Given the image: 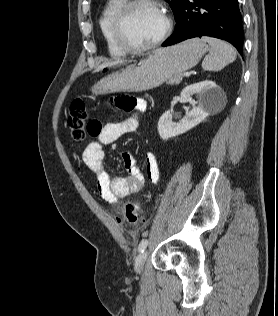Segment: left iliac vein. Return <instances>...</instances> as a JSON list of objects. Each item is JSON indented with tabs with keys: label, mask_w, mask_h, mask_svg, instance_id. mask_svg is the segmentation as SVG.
Returning <instances> with one entry per match:
<instances>
[{
	"label": "left iliac vein",
	"mask_w": 278,
	"mask_h": 316,
	"mask_svg": "<svg viewBox=\"0 0 278 316\" xmlns=\"http://www.w3.org/2000/svg\"><path fill=\"white\" fill-rule=\"evenodd\" d=\"M147 256H148V252L147 251H144L142 253H140L138 255V257L136 258V261H135V270L137 272H141L143 267H144V264L146 262V259H147Z\"/></svg>",
	"instance_id": "1"
}]
</instances>
